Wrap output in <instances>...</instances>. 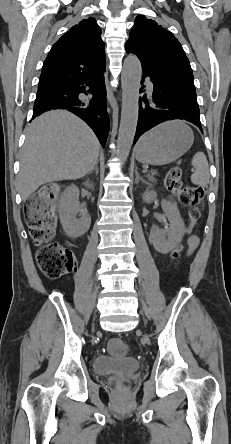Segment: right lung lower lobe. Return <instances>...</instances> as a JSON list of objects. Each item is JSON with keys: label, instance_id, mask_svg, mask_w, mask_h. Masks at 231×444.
I'll list each match as a JSON object with an SVG mask.
<instances>
[{"label": "right lung lower lobe", "instance_id": "right-lung-lower-lobe-1", "mask_svg": "<svg viewBox=\"0 0 231 444\" xmlns=\"http://www.w3.org/2000/svg\"><path fill=\"white\" fill-rule=\"evenodd\" d=\"M86 86L89 90H86ZM80 93H90L93 97L88 101L81 100ZM51 109H67L79 116L93 129L104 147L109 132V118L103 73L38 89L32 119Z\"/></svg>", "mask_w": 231, "mask_h": 444}]
</instances>
